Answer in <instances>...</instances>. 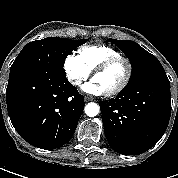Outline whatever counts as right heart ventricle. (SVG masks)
Listing matches in <instances>:
<instances>
[{"label":"right heart ventricle","mask_w":178,"mask_h":178,"mask_svg":"<svg viewBox=\"0 0 178 178\" xmlns=\"http://www.w3.org/2000/svg\"><path fill=\"white\" fill-rule=\"evenodd\" d=\"M120 55L119 51L107 45H87L78 52V57L89 72L94 71L105 60Z\"/></svg>","instance_id":"right-heart-ventricle-1"}]
</instances>
